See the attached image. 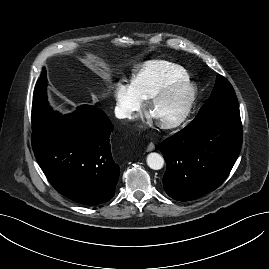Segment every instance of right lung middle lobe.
I'll return each instance as SVG.
<instances>
[{"instance_id":"dd1d6c3e","label":"right lung middle lobe","mask_w":269,"mask_h":269,"mask_svg":"<svg viewBox=\"0 0 269 269\" xmlns=\"http://www.w3.org/2000/svg\"><path fill=\"white\" fill-rule=\"evenodd\" d=\"M46 73H42L34 90L32 103V130L41 129L51 119L58 116L49 106L46 95Z\"/></svg>"}]
</instances>
